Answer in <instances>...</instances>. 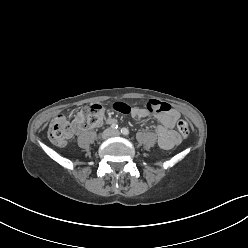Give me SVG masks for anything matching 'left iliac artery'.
<instances>
[{
	"instance_id": "1",
	"label": "left iliac artery",
	"mask_w": 248,
	"mask_h": 248,
	"mask_svg": "<svg viewBox=\"0 0 248 248\" xmlns=\"http://www.w3.org/2000/svg\"><path fill=\"white\" fill-rule=\"evenodd\" d=\"M121 133L124 134V135H128L130 132H129V130L127 128H122Z\"/></svg>"
}]
</instances>
